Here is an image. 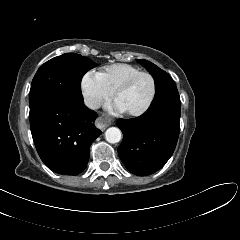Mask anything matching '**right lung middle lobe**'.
I'll return each instance as SVG.
<instances>
[{
  "instance_id": "obj_1",
  "label": "right lung middle lobe",
  "mask_w": 240,
  "mask_h": 240,
  "mask_svg": "<svg viewBox=\"0 0 240 240\" xmlns=\"http://www.w3.org/2000/svg\"><path fill=\"white\" fill-rule=\"evenodd\" d=\"M96 66L92 60L76 53H66L44 63L31 84L30 111L55 99L82 100V77Z\"/></svg>"
}]
</instances>
